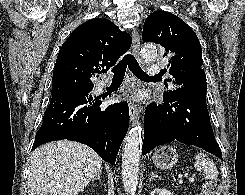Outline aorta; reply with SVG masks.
<instances>
[{"label": "aorta", "mask_w": 245, "mask_h": 195, "mask_svg": "<svg viewBox=\"0 0 245 195\" xmlns=\"http://www.w3.org/2000/svg\"><path fill=\"white\" fill-rule=\"evenodd\" d=\"M141 55L146 62L152 61L157 55L156 47L145 44L141 49ZM143 140V127L137 123L132 127L125 139L122 154V182L125 192L134 195L138 184L139 161Z\"/></svg>", "instance_id": "762f6f07"}]
</instances>
